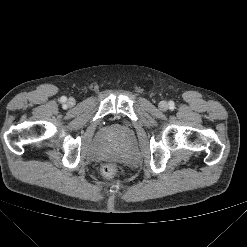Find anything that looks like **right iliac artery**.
<instances>
[{
    "instance_id": "obj_1",
    "label": "right iliac artery",
    "mask_w": 247,
    "mask_h": 247,
    "mask_svg": "<svg viewBox=\"0 0 247 247\" xmlns=\"http://www.w3.org/2000/svg\"><path fill=\"white\" fill-rule=\"evenodd\" d=\"M61 101H62V102H65V101H66V97L63 96V97L61 98Z\"/></svg>"
}]
</instances>
